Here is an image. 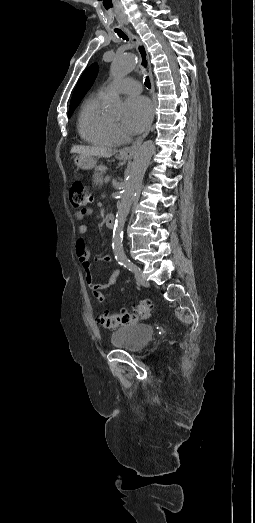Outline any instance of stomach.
Masks as SVG:
<instances>
[{
  "instance_id": "1",
  "label": "stomach",
  "mask_w": 255,
  "mask_h": 523,
  "mask_svg": "<svg viewBox=\"0 0 255 523\" xmlns=\"http://www.w3.org/2000/svg\"><path fill=\"white\" fill-rule=\"evenodd\" d=\"M120 158H123V160H130L133 156H127L125 152H121ZM74 162L77 168H81V170H93L96 166V160H94V158H84V156H77Z\"/></svg>"
}]
</instances>
